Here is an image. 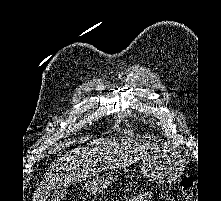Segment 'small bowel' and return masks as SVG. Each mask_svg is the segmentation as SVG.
Listing matches in <instances>:
<instances>
[{
  "instance_id": "c3829d8e",
  "label": "small bowel",
  "mask_w": 221,
  "mask_h": 201,
  "mask_svg": "<svg viewBox=\"0 0 221 201\" xmlns=\"http://www.w3.org/2000/svg\"><path fill=\"white\" fill-rule=\"evenodd\" d=\"M129 201H154V200L148 193L141 192L131 197Z\"/></svg>"
}]
</instances>
